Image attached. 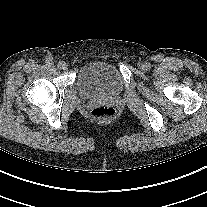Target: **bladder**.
<instances>
[{
  "label": "bladder",
  "instance_id": "31cf9c89",
  "mask_svg": "<svg viewBox=\"0 0 207 207\" xmlns=\"http://www.w3.org/2000/svg\"><path fill=\"white\" fill-rule=\"evenodd\" d=\"M79 91L86 97L116 96L123 89L118 69L107 61H92L78 74Z\"/></svg>",
  "mask_w": 207,
  "mask_h": 207
}]
</instances>
